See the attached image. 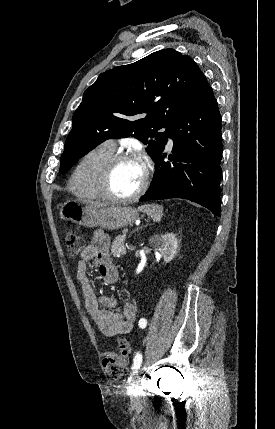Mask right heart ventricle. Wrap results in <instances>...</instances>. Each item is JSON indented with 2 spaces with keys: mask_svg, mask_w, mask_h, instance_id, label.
Wrapping results in <instances>:
<instances>
[{
  "mask_svg": "<svg viewBox=\"0 0 275 429\" xmlns=\"http://www.w3.org/2000/svg\"><path fill=\"white\" fill-rule=\"evenodd\" d=\"M114 154L105 144L88 151L78 162L69 179V188L76 196L86 200H99L97 179L104 162Z\"/></svg>",
  "mask_w": 275,
  "mask_h": 429,
  "instance_id": "e07e8e85",
  "label": "right heart ventricle"
}]
</instances>
